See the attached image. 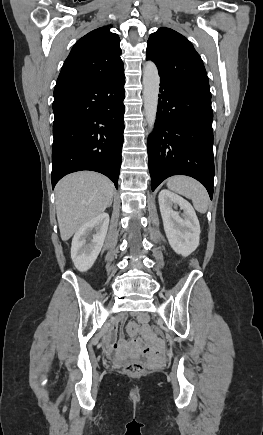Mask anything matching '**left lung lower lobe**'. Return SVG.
<instances>
[{
	"label": "left lung lower lobe",
	"instance_id": "left-lung-lower-lobe-1",
	"mask_svg": "<svg viewBox=\"0 0 263 435\" xmlns=\"http://www.w3.org/2000/svg\"><path fill=\"white\" fill-rule=\"evenodd\" d=\"M211 93L160 79L158 110L147 148L154 190L172 175L200 181L213 196Z\"/></svg>",
	"mask_w": 263,
	"mask_h": 435
}]
</instances>
